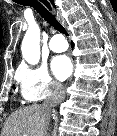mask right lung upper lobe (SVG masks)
<instances>
[{
  "mask_svg": "<svg viewBox=\"0 0 117 136\" xmlns=\"http://www.w3.org/2000/svg\"><path fill=\"white\" fill-rule=\"evenodd\" d=\"M51 2H52V4L54 5V2H53V0H51Z\"/></svg>",
  "mask_w": 117,
  "mask_h": 136,
  "instance_id": "1",
  "label": "right lung upper lobe"
}]
</instances>
